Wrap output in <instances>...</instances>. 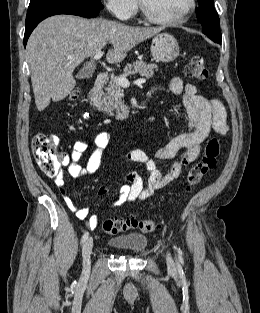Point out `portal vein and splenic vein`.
<instances>
[{
	"label": "portal vein and splenic vein",
	"instance_id": "1",
	"mask_svg": "<svg viewBox=\"0 0 260 313\" xmlns=\"http://www.w3.org/2000/svg\"><path fill=\"white\" fill-rule=\"evenodd\" d=\"M102 56H103V52H102V51H98V52L94 55L93 59H94V60H99ZM145 82H146V79H143V78L137 79L136 81H134L135 84H143V83H145ZM117 83H118V85H120V86H122V87H124V88H127V87H129V85H130V82H129L128 79H126L125 77H119V78H117Z\"/></svg>",
	"mask_w": 260,
	"mask_h": 313
}]
</instances>
